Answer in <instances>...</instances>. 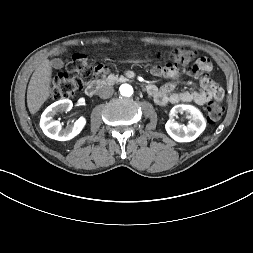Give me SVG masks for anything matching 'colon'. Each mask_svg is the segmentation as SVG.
I'll use <instances>...</instances> for the list:
<instances>
[{"label": "colon", "instance_id": "5ec220e1", "mask_svg": "<svg viewBox=\"0 0 253 253\" xmlns=\"http://www.w3.org/2000/svg\"><path fill=\"white\" fill-rule=\"evenodd\" d=\"M196 53L188 49H174L165 54H158V60L173 62L175 66L185 67L186 64L195 60ZM66 70L73 74L57 75L51 83L50 96L54 100L65 99L73 96L81 89L86 80L99 77L106 78L111 73V66L106 61H99L95 66L89 57L83 53H76L67 63ZM224 114V107L219 102H210L207 106V119L210 123H215Z\"/></svg>", "mask_w": 253, "mask_h": 253}]
</instances>
